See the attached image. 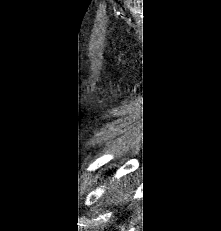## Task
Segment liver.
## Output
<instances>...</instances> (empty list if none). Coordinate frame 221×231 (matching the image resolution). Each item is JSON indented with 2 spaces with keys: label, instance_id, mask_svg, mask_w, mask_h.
<instances>
[{
  "label": "liver",
  "instance_id": "6515ba94",
  "mask_svg": "<svg viewBox=\"0 0 221 231\" xmlns=\"http://www.w3.org/2000/svg\"><path fill=\"white\" fill-rule=\"evenodd\" d=\"M112 188L115 190L117 198L128 199L134 192L132 185L128 181H124V183L115 182Z\"/></svg>",
  "mask_w": 221,
  "mask_h": 231
}]
</instances>
